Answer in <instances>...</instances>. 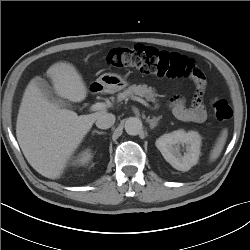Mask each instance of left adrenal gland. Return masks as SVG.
I'll list each match as a JSON object with an SVG mask.
<instances>
[{"label": "left adrenal gland", "mask_w": 250, "mask_h": 250, "mask_svg": "<svg viewBox=\"0 0 250 250\" xmlns=\"http://www.w3.org/2000/svg\"><path fill=\"white\" fill-rule=\"evenodd\" d=\"M161 118H162V116L153 117L152 119H150V117H148L147 122L150 124V128L154 129L158 125V122Z\"/></svg>", "instance_id": "obj_1"}]
</instances>
